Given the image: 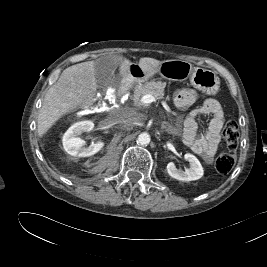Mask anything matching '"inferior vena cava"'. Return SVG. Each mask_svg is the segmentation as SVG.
I'll use <instances>...</instances> for the list:
<instances>
[{"instance_id": "1", "label": "inferior vena cava", "mask_w": 267, "mask_h": 267, "mask_svg": "<svg viewBox=\"0 0 267 267\" xmlns=\"http://www.w3.org/2000/svg\"><path fill=\"white\" fill-rule=\"evenodd\" d=\"M117 121L126 127H133L138 124L137 114L132 109H123L117 113Z\"/></svg>"}]
</instances>
